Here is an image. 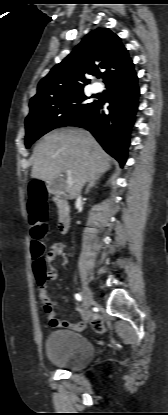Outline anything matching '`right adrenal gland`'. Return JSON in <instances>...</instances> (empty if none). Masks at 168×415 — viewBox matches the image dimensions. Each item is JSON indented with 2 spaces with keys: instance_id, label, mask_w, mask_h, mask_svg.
<instances>
[{
  "instance_id": "right-adrenal-gland-1",
  "label": "right adrenal gland",
  "mask_w": 168,
  "mask_h": 415,
  "mask_svg": "<svg viewBox=\"0 0 168 415\" xmlns=\"http://www.w3.org/2000/svg\"><path fill=\"white\" fill-rule=\"evenodd\" d=\"M102 177V174H98L97 176H95L93 179H91L88 183V186L86 188V194L89 192L90 188L96 186L97 181Z\"/></svg>"
}]
</instances>
